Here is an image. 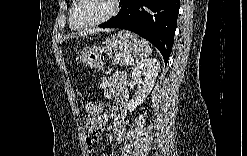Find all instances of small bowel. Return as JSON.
I'll use <instances>...</instances> for the list:
<instances>
[{"mask_svg": "<svg viewBox=\"0 0 247 156\" xmlns=\"http://www.w3.org/2000/svg\"><path fill=\"white\" fill-rule=\"evenodd\" d=\"M101 89L105 97L109 99L118 98L120 101L126 100V88H125V77L123 74H114L110 77H105L100 83ZM89 107H93V103H87L85 105V112ZM104 109V106H103ZM101 121L98 124L100 127L104 126L108 122V116L101 112ZM85 120V117H84ZM125 112H116L114 116V124L112 127V137L116 144H120L125 138ZM83 134L85 139V148L88 154H93V144L98 140V133L91 135L90 130H85L83 125Z\"/></svg>", "mask_w": 247, "mask_h": 156, "instance_id": "c3829d8e", "label": "small bowel"}]
</instances>
